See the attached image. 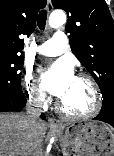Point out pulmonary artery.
<instances>
[{
    "label": "pulmonary artery",
    "instance_id": "pulmonary-artery-1",
    "mask_svg": "<svg viewBox=\"0 0 114 156\" xmlns=\"http://www.w3.org/2000/svg\"><path fill=\"white\" fill-rule=\"evenodd\" d=\"M68 40L66 35L58 31L53 37L36 48V52L43 56H59L67 50Z\"/></svg>",
    "mask_w": 114,
    "mask_h": 156
}]
</instances>
